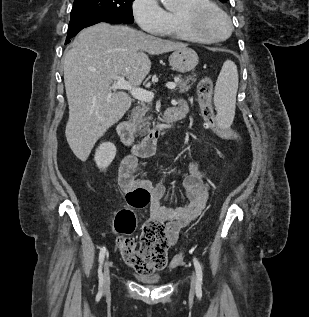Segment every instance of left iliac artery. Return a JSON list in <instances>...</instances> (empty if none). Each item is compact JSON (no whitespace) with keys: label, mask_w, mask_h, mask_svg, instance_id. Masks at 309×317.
<instances>
[{"label":"left iliac artery","mask_w":309,"mask_h":317,"mask_svg":"<svg viewBox=\"0 0 309 317\" xmlns=\"http://www.w3.org/2000/svg\"><path fill=\"white\" fill-rule=\"evenodd\" d=\"M193 263L194 267L196 270V284H197V289L200 291L201 290V285H202V280H203V272H202V267L198 261L197 258H193Z\"/></svg>","instance_id":"44dca946"}]
</instances>
